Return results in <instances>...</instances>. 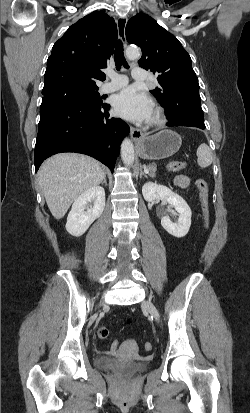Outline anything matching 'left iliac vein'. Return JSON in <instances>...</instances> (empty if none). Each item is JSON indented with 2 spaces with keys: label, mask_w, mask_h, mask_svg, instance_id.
<instances>
[{
  "label": "left iliac vein",
  "mask_w": 250,
  "mask_h": 413,
  "mask_svg": "<svg viewBox=\"0 0 250 413\" xmlns=\"http://www.w3.org/2000/svg\"><path fill=\"white\" fill-rule=\"evenodd\" d=\"M142 306L155 318V320L159 321V313L156 307L150 301H144Z\"/></svg>",
  "instance_id": "left-iliac-vein-1"
}]
</instances>
